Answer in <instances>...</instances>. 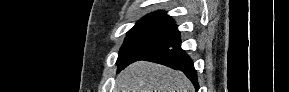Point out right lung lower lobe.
I'll list each match as a JSON object with an SVG mask.
<instances>
[{"instance_id":"obj_1","label":"right lung lower lobe","mask_w":289,"mask_h":92,"mask_svg":"<svg viewBox=\"0 0 289 92\" xmlns=\"http://www.w3.org/2000/svg\"><path fill=\"white\" fill-rule=\"evenodd\" d=\"M138 60L151 61L180 70L191 80L196 90L199 88L193 61L186 52L181 49V42Z\"/></svg>"}]
</instances>
